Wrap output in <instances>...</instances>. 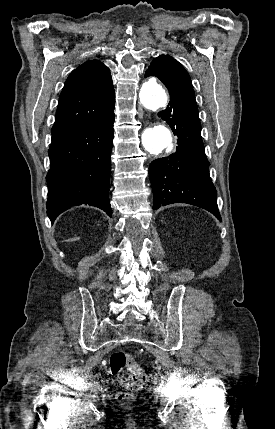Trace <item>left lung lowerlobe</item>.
Wrapping results in <instances>:
<instances>
[{
    "mask_svg": "<svg viewBox=\"0 0 275 429\" xmlns=\"http://www.w3.org/2000/svg\"><path fill=\"white\" fill-rule=\"evenodd\" d=\"M169 93L170 103L158 116L170 125L178 137V146L175 153L154 160L149 167L153 208L188 203L208 210L221 221L194 92L182 86L170 88Z\"/></svg>",
    "mask_w": 275,
    "mask_h": 429,
    "instance_id": "0a47b994",
    "label": "left lung lower lobe"
}]
</instances>
